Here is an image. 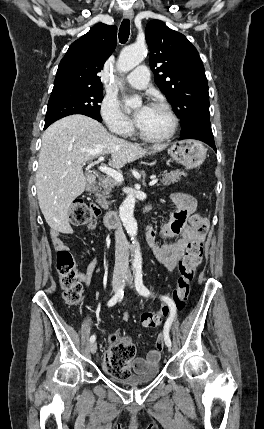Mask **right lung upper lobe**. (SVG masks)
<instances>
[{
  "label": "right lung upper lobe",
  "instance_id": "obj_1",
  "mask_svg": "<svg viewBox=\"0 0 264 429\" xmlns=\"http://www.w3.org/2000/svg\"><path fill=\"white\" fill-rule=\"evenodd\" d=\"M117 28L103 23L73 42L62 58L53 90L64 87L101 88L98 73L116 47Z\"/></svg>",
  "mask_w": 264,
  "mask_h": 429
}]
</instances>
